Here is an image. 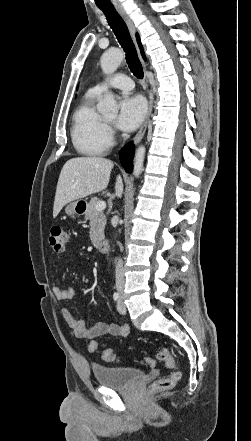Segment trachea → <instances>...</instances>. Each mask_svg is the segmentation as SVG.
<instances>
[{
  "label": "trachea",
  "mask_w": 251,
  "mask_h": 441,
  "mask_svg": "<svg viewBox=\"0 0 251 441\" xmlns=\"http://www.w3.org/2000/svg\"><path fill=\"white\" fill-rule=\"evenodd\" d=\"M113 30L118 42L126 53V61L130 71L138 79L143 78V68L139 61L136 48L131 39L129 30L122 17L118 14L115 8H100Z\"/></svg>",
  "instance_id": "trachea-1"
}]
</instances>
